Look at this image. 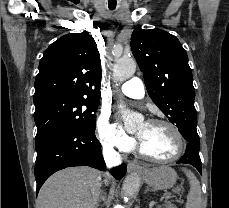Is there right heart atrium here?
Returning a JSON list of instances; mask_svg holds the SVG:
<instances>
[{
	"mask_svg": "<svg viewBox=\"0 0 229 208\" xmlns=\"http://www.w3.org/2000/svg\"><path fill=\"white\" fill-rule=\"evenodd\" d=\"M96 138L103 147L117 149L125 153L133 151L136 147L135 140L112 124L109 115L105 112H102L97 118Z\"/></svg>",
	"mask_w": 229,
	"mask_h": 208,
	"instance_id": "obj_1",
	"label": "right heart atrium"
}]
</instances>
